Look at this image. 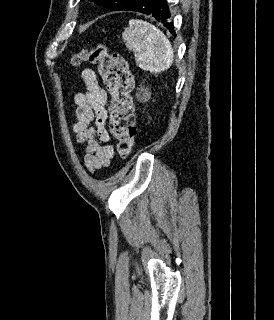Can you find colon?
Returning <instances> with one entry per match:
<instances>
[{
  "instance_id": "5ec220e1",
  "label": "colon",
  "mask_w": 274,
  "mask_h": 320,
  "mask_svg": "<svg viewBox=\"0 0 274 320\" xmlns=\"http://www.w3.org/2000/svg\"><path fill=\"white\" fill-rule=\"evenodd\" d=\"M83 62L98 67L107 93L111 96L109 126L116 150L128 157L134 147L136 120L131 96L133 76L126 60L119 53L111 52L104 44L88 47L71 58L73 66Z\"/></svg>"
}]
</instances>
